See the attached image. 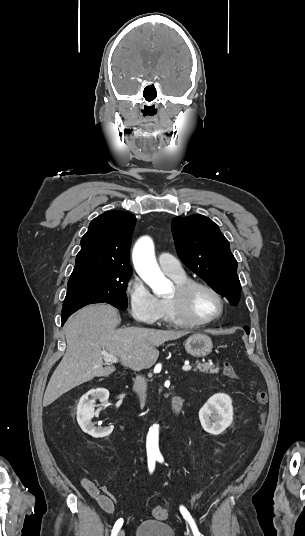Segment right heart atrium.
Wrapping results in <instances>:
<instances>
[{"label": "right heart atrium", "instance_id": "d8ad5b80", "mask_svg": "<svg viewBox=\"0 0 305 536\" xmlns=\"http://www.w3.org/2000/svg\"><path fill=\"white\" fill-rule=\"evenodd\" d=\"M129 311L134 319L147 324L157 322L162 313V303L141 279L132 277L126 287Z\"/></svg>", "mask_w": 305, "mask_h": 536}]
</instances>
